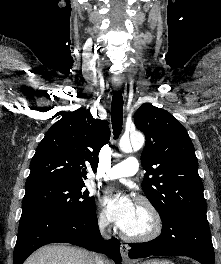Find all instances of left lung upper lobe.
Segmentation results:
<instances>
[{
	"label": "left lung upper lobe",
	"mask_w": 221,
	"mask_h": 264,
	"mask_svg": "<svg viewBox=\"0 0 221 264\" xmlns=\"http://www.w3.org/2000/svg\"><path fill=\"white\" fill-rule=\"evenodd\" d=\"M134 123L146 137L142 188L160 217L206 214L198 161L186 129L169 112L151 104L137 110Z\"/></svg>",
	"instance_id": "5c2ea615"
}]
</instances>
